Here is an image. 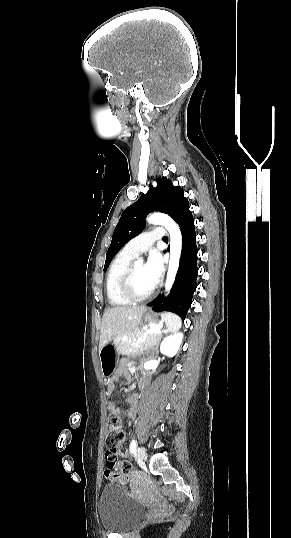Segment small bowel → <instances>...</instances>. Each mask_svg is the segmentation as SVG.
Wrapping results in <instances>:
<instances>
[{
  "label": "small bowel",
  "mask_w": 291,
  "mask_h": 538,
  "mask_svg": "<svg viewBox=\"0 0 291 538\" xmlns=\"http://www.w3.org/2000/svg\"><path fill=\"white\" fill-rule=\"evenodd\" d=\"M121 370H118L116 372V374L107 382V386H106V392H107V395L108 396H112L113 393H114V390H115V381L118 380L120 374H121ZM138 401H139V395L138 394H132L130 395L126 402L128 404V409L126 410V414L130 417H133L135 416L136 412H137V409H138ZM108 410L111 414L119 417L123 411L118 407L116 406V404L114 402H110L108 404ZM124 442V437L120 440L119 444H118V447ZM118 456L122 457V458H127L128 457V453L126 451H120L118 449Z\"/></svg>",
  "instance_id": "c3829d8e"
}]
</instances>
